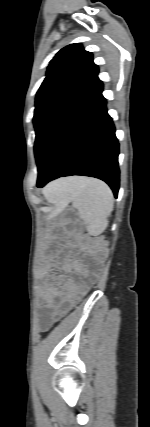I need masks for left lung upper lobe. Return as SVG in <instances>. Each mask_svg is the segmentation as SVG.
Returning a JSON list of instances; mask_svg holds the SVG:
<instances>
[{
    "label": "left lung upper lobe",
    "instance_id": "5c2ea615",
    "mask_svg": "<svg viewBox=\"0 0 150 427\" xmlns=\"http://www.w3.org/2000/svg\"><path fill=\"white\" fill-rule=\"evenodd\" d=\"M97 74L92 54L80 43L62 48L50 61L46 78L37 92L35 129L83 93L98 79Z\"/></svg>",
    "mask_w": 150,
    "mask_h": 427
}]
</instances>
